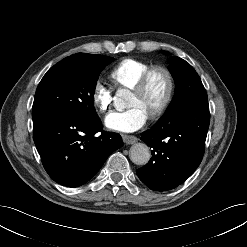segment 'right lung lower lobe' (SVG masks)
<instances>
[{
  "label": "right lung lower lobe",
  "instance_id": "1",
  "mask_svg": "<svg viewBox=\"0 0 247 247\" xmlns=\"http://www.w3.org/2000/svg\"><path fill=\"white\" fill-rule=\"evenodd\" d=\"M33 137L49 176L67 187L89 181L123 142L102 130L101 120L64 113L33 120Z\"/></svg>",
  "mask_w": 247,
  "mask_h": 247
}]
</instances>
